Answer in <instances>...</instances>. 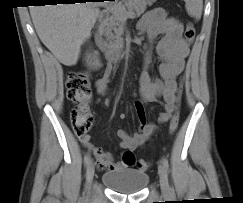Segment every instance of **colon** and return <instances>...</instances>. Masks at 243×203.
<instances>
[{
	"instance_id": "5ec220e1",
	"label": "colon",
	"mask_w": 243,
	"mask_h": 203,
	"mask_svg": "<svg viewBox=\"0 0 243 203\" xmlns=\"http://www.w3.org/2000/svg\"><path fill=\"white\" fill-rule=\"evenodd\" d=\"M196 36V30L191 22L185 26L184 37L188 43H192ZM66 91L68 99L76 106L71 111L72 128L76 136L85 137L90 130L94 116L89 110L87 103L91 97L89 74L82 70L70 71L66 79ZM179 125V116L175 114L170 120V133H175ZM123 162L126 165L134 163V156L131 151L123 154ZM139 170H147L150 166L147 160L141 159L136 162Z\"/></svg>"
}]
</instances>
